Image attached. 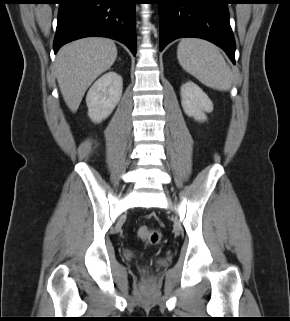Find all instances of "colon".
Segmentation results:
<instances>
[{
	"mask_svg": "<svg viewBox=\"0 0 290 321\" xmlns=\"http://www.w3.org/2000/svg\"><path fill=\"white\" fill-rule=\"evenodd\" d=\"M137 234L139 238H141L150 245H158L161 243L163 239V235L160 230L151 228L146 225L140 226L137 230ZM142 273L147 274V270L142 269Z\"/></svg>",
	"mask_w": 290,
	"mask_h": 321,
	"instance_id": "5ec220e1",
	"label": "colon"
}]
</instances>
